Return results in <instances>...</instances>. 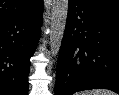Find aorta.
<instances>
[{
  "instance_id": "aorta-1",
  "label": "aorta",
  "mask_w": 119,
  "mask_h": 95,
  "mask_svg": "<svg viewBox=\"0 0 119 95\" xmlns=\"http://www.w3.org/2000/svg\"><path fill=\"white\" fill-rule=\"evenodd\" d=\"M67 14L68 0H53L50 32V54L52 57H56L59 53L65 32Z\"/></svg>"
}]
</instances>
